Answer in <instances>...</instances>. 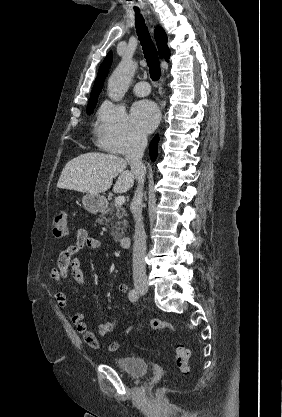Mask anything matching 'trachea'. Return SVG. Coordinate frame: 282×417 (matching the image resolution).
<instances>
[{"mask_svg":"<svg viewBox=\"0 0 282 417\" xmlns=\"http://www.w3.org/2000/svg\"><path fill=\"white\" fill-rule=\"evenodd\" d=\"M135 25L137 35L143 47L144 56L149 67L150 77L154 81L159 80L161 69L158 53L153 41L151 40L149 31L144 23V19L138 10L135 11Z\"/></svg>","mask_w":282,"mask_h":417,"instance_id":"3493384b","label":"trachea"}]
</instances>
